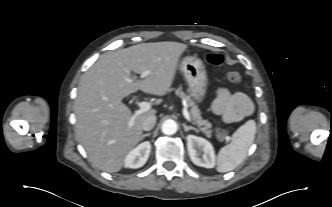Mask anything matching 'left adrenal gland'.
Returning a JSON list of instances; mask_svg holds the SVG:
<instances>
[{"instance_id": "left-adrenal-gland-1", "label": "left adrenal gland", "mask_w": 332, "mask_h": 207, "mask_svg": "<svg viewBox=\"0 0 332 207\" xmlns=\"http://www.w3.org/2000/svg\"><path fill=\"white\" fill-rule=\"evenodd\" d=\"M183 127H184V131L185 132H187L189 130H194V131L198 132V130L195 127H193V126H187L185 123H183Z\"/></svg>"}]
</instances>
